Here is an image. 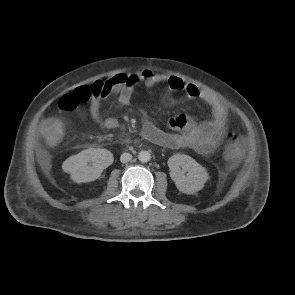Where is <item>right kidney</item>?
I'll use <instances>...</instances> for the list:
<instances>
[{"label":"right kidney","instance_id":"1","mask_svg":"<svg viewBox=\"0 0 295 295\" xmlns=\"http://www.w3.org/2000/svg\"><path fill=\"white\" fill-rule=\"evenodd\" d=\"M113 160V154L109 150L89 148L67 158L62 169L70 174L74 182L86 183L98 179Z\"/></svg>","mask_w":295,"mask_h":295}]
</instances>
